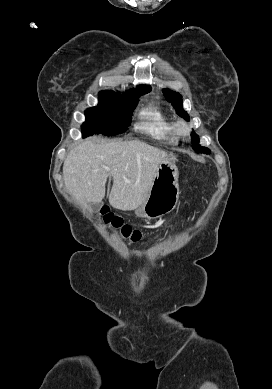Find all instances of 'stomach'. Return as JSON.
Returning a JSON list of instances; mask_svg holds the SVG:
<instances>
[{"label": "stomach", "mask_w": 272, "mask_h": 389, "mask_svg": "<svg viewBox=\"0 0 272 389\" xmlns=\"http://www.w3.org/2000/svg\"><path fill=\"white\" fill-rule=\"evenodd\" d=\"M178 177L176 159L167 157L159 164L149 194L135 214L141 218L156 219L171 212L179 199Z\"/></svg>", "instance_id": "obj_1"}]
</instances>
